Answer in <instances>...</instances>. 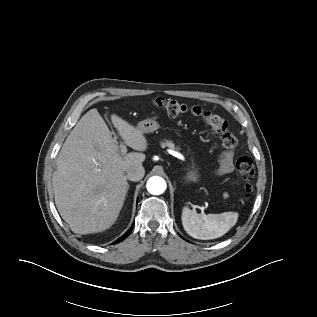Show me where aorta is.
<instances>
[{
	"mask_svg": "<svg viewBox=\"0 0 317 317\" xmlns=\"http://www.w3.org/2000/svg\"><path fill=\"white\" fill-rule=\"evenodd\" d=\"M146 187L149 193L160 195L166 190L167 184L162 177L152 176L148 179Z\"/></svg>",
	"mask_w": 317,
	"mask_h": 317,
	"instance_id": "762f6f07",
	"label": "aorta"
}]
</instances>
